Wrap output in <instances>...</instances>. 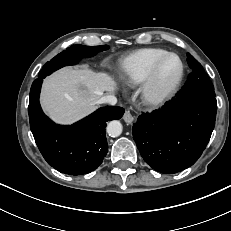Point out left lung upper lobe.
Returning a JSON list of instances; mask_svg holds the SVG:
<instances>
[{
  "instance_id": "5c2ea615",
  "label": "left lung upper lobe",
  "mask_w": 231,
  "mask_h": 231,
  "mask_svg": "<svg viewBox=\"0 0 231 231\" xmlns=\"http://www.w3.org/2000/svg\"><path fill=\"white\" fill-rule=\"evenodd\" d=\"M187 62L192 72L178 93H202L215 96L214 86L201 64L189 53L187 54Z\"/></svg>"
}]
</instances>
